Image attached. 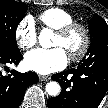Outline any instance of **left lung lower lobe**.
Returning <instances> with one entry per match:
<instances>
[{
    "label": "left lung lower lobe",
    "instance_id": "left-lung-lower-lobe-1",
    "mask_svg": "<svg viewBox=\"0 0 108 108\" xmlns=\"http://www.w3.org/2000/svg\"><path fill=\"white\" fill-rule=\"evenodd\" d=\"M62 91L59 96L47 101L48 108H98L108 91V63L78 65L77 68L52 76ZM75 89V100H68L66 94Z\"/></svg>",
    "mask_w": 108,
    "mask_h": 108
}]
</instances>
